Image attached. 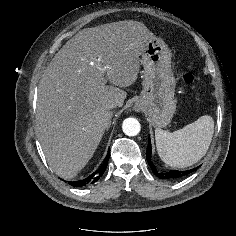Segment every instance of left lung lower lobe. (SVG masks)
<instances>
[{
  "label": "left lung lower lobe",
  "instance_id": "obj_1",
  "mask_svg": "<svg viewBox=\"0 0 236 236\" xmlns=\"http://www.w3.org/2000/svg\"><path fill=\"white\" fill-rule=\"evenodd\" d=\"M146 157H147L148 164L151 167L154 174L157 177L163 178V179H178V178L183 177L187 174H190L191 172H193L194 170H196L198 168L197 167V168L187 170V171H169V172H165V173H159L157 171L155 165L151 161V141H150V138H149V142H148Z\"/></svg>",
  "mask_w": 236,
  "mask_h": 236
}]
</instances>
